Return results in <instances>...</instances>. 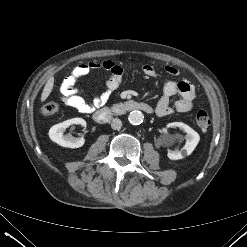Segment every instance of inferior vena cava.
I'll return each instance as SVG.
<instances>
[{
	"instance_id": "1",
	"label": "inferior vena cava",
	"mask_w": 247,
	"mask_h": 247,
	"mask_svg": "<svg viewBox=\"0 0 247 247\" xmlns=\"http://www.w3.org/2000/svg\"><path fill=\"white\" fill-rule=\"evenodd\" d=\"M122 127V121L119 118H114L111 122V128L114 130H120Z\"/></svg>"
}]
</instances>
